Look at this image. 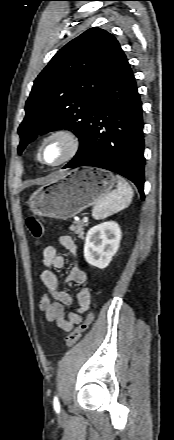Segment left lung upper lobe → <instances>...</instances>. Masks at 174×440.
Returning <instances> with one entry per match:
<instances>
[{
    "label": "left lung upper lobe",
    "mask_w": 174,
    "mask_h": 440,
    "mask_svg": "<svg viewBox=\"0 0 174 440\" xmlns=\"http://www.w3.org/2000/svg\"><path fill=\"white\" fill-rule=\"evenodd\" d=\"M122 55L115 37L97 27L60 49L34 81L18 129L19 154L37 135L58 129L73 130L80 151L92 104Z\"/></svg>",
    "instance_id": "1"
}]
</instances>
